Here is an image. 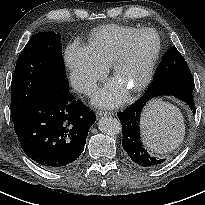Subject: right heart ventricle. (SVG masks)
Returning a JSON list of instances; mask_svg holds the SVG:
<instances>
[{
    "mask_svg": "<svg viewBox=\"0 0 205 205\" xmlns=\"http://www.w3.org/2000/svg\"><path fill=\"white\" fill-rule=\"evenodd\" d=\"M138 28L120 25H107L97 30L89 46L92 56L104 66L112 64L121 51L127 38Z\"/></svg>",
    "mask_w": 205,
    "mask_h": 205,
    "instance_id": "e07e8e85",
    "label": "right heart ventricle"
}]
</instances>
